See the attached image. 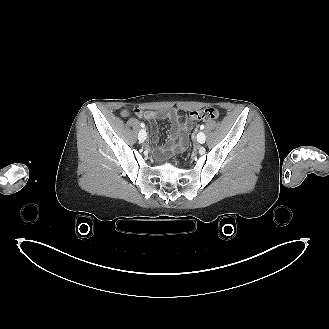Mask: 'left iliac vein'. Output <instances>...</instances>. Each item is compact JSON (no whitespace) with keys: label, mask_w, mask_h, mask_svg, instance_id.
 Returning <instances> with one entry per match:
<instances>
[{"label":"left iliac vein","mask_w":329,"mask_h":329,"mask_svg":"<svg viewBox=\"0 0 329 329\" xmlns=\"http://www.w3.org/2000/svg\"><path fill=\"white\" fill-rule=\"evenodd\" d=\"M206 140V135L204 132L200 131L198 134H197V141L200 143V144H203Z\"/></svg>","instance_id":"1"}]
</instances>
